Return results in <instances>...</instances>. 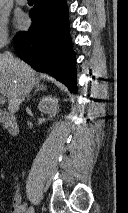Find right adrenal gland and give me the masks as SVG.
Instances as JSON below:
<instances>
[{
	"label": "right adrenal gland",
	"mask_w": 128,
	"mask_h": 213,
	"mask_svg": "<svg viewBox=\"0 0 128 213\" xmlns=\"http://www.w3.org/2000/svg\"><path fill=\"white\" fill-rule=\"evenodd\" d=\"M41 90H46L45 85H43L42 83H37L35 85V90L33 92V95H35L38 91H41ZM30 97H31V95H28L27 101L30 99Z\"/></svg>",
	"instance_id": "right-adrenal-gland-1"
}]
</instances>
